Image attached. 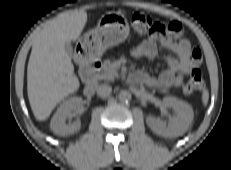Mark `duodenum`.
Masks as SVG:
<instances>
[{"label":"duodenum","mask_w":231,"mask_h":170,"mask_svg":"<svg viewBox=\"0 0 231 170\" xmlns=\"http://www.w3.org/2000/svg\"><path fill=\"white\" fill-rule=\"evenodd\" d=\"M101 60L97 58H87L81 64V78L85 82L84 94L94 95L97 87V74L101 68Z\"/></svg>","instance_id":"obj_1"}]
</instances>
